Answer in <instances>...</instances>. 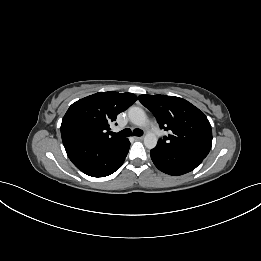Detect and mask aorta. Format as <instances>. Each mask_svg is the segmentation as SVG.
<instances>
[{
	"mask_svg": "<svg viewBox=\"0 0 261 261\" xmlns=\"http://www.w3.org/2000/svg\"><path fill=\"white\" fill-rule=\"evenodd\" d=\"M128 117L130 121L139 126V127H147L148 126V118L143 109L139 107H131L128 110ZM144 145L148 149H153L157 145V137L153 132H147L144 137Z\"/></svg>",
	"mask_w": 261,
	"mask_h": 261,
	"instance_id": "obj_1",
	"label": "aorta"
}]
</instances>
